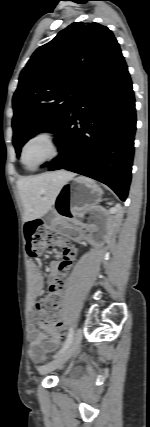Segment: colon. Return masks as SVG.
<instances>
[{
  "instance_id": "colon-1",
  "label": "colon",
  "mask_w": 150,
  "mask_h": 427,
  "mask_svg": "<svg viewBox=\"0 0 150 427\" xmlns=\"http://www.w3.org/2000/svg\"><path fill=\"white\" fill-rule=\"evenodd\" d=\"M25 237L27 240V256L30 259H37L42 252L53 243L59 242L64 248L65 258L74 257L75 252L64 242L59 241L56 236L49 231L41 220H32L25 226ZM66 273V271L64 272ZM65 274L61 275L53 285L50 286L49 293L37 304L41 321L44 325L59 330L61 322L60 292L66 285Z\"/></svg>"
}]
</instances>
